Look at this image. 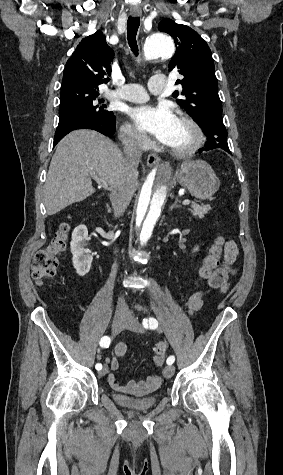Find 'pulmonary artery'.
Wrapping results in <instances>:
<instances>
[{
  "mask_svg": "<svg viewBox=\"0 0 283 475\" xmlns=\"http://www.w3.org/2000/svg\"><path fill=\"white\" fill-rule=\"evenodd\" d=\"M149 88L151 92L139 84H128L123 91L117 93V98L130 102H143L150 100L152 95L164 96L166 93L164 80H150Z\"/></svg>",
  "mask_w": 283,
  "mask_h": 475,
  "instance_id": "obj_1",
  "label": "pulmonary artery"
}]
</instances>
